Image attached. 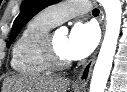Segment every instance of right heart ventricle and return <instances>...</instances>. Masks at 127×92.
Listing matches in <instances>:
<instances>
[{"mask_svg":"<svg viewBox=\"0 0 127 92\" xmlns=\"http://www.w3.org/2000/svg\"><path fill=\"white\" fill-rule=\"evenodd\" d=\"M57 23L46 11L27 22L12 48L11 66L19 74L40 75L54 70L44 56V41Z\"/></svg>","mask_w":127,"mask_h":92,"instance_id":"right-heart-ventricle-1","label":"right heart ventricle"}]
</instances>
